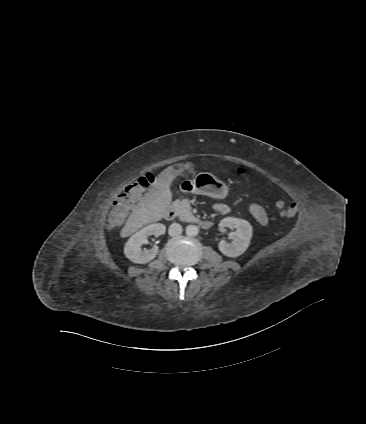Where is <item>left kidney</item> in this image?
Wrapping results in <instances>:
<instances>
[{
  "mask_svg": "<svg viewBox=\"0 0 366 424\" xmlns=\"http://www.w3.org/2000/svg\"><path fill=\"white\" fill-rule=\"evenodd\" d=\"M219 227L236 229L229 233V238L233 240L231 243H228L225 240H221L219 242L218 248L222 254L228 257H237L247 250L252 238V226L248 221L234 217H227L220 221Z\"/></svg>",
  "mask_w": 366,
  "mask_h": 424,
  "instance_id": "1",
  "label": "left kidney"
}]
</instances>
